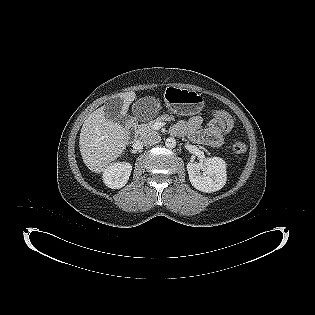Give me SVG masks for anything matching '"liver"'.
<instances>
[{
    "label": "liver",
    "instance_id": "liver-1",
    "mask_svg": "<svg viewBox=\"0 0 315 315\" xmlns=\"http://www.w3.org/2000/svg\"><path fill=\"white\" fill-rule=\"evenodd\" d=\"M117 98L123 101L121 114L125 115L135 93H121ZM128 140L123 126L109 121L104 116V107H100L86 118L81 128L79 148L83 162L92 172H104L124 152Z\"/></svg>",
    "mask_w": 315,
    "mask_h": 315
}]
</instances>
